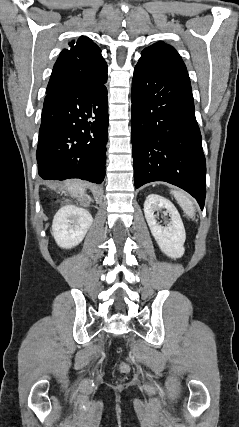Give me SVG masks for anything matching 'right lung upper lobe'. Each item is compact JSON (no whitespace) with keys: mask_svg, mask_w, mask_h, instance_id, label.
<instances>
[{"mask_svg":"<svg viewBox=\"0 0 239 427\" xmlns=\"http://www.w3.org/2000/svg\"><path fill=\"white\" fill-rule=\"evenodd\" d=\"M69 46L60 53L46 91L69 81L97 78L107 71L101 50L91 39L81 36Z\"/></svg>","mask_w":239,"mask_h":427,"instance_id":"obj_1","label":"right lung upper lobe"}]
</instances>
